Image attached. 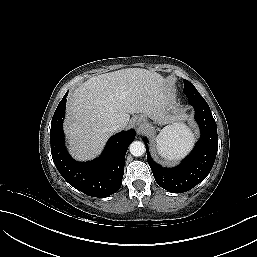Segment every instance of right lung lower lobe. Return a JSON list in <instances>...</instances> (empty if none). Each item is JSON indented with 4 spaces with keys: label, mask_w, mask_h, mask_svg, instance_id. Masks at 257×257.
Instances as JSON below:
<instances>
[{
    "label": "right lung lower lobe",
    "mask_w": 257,
    "mask_h": 257,
    "mask_svg": "<svg viewBox=\"0 0 257 257\" xmlns=\"http://www.w3.org/2000/svg\"><path fill=\"white\" fill-rule=\"evenodd\" d=\"M65 94L51 122L50 142L53 162L61 176L74 188L92 197L114 194L122 185L125 154L135 139V131H123L112 136L97 159L77 162L64 147L62 123L65 117Z\"/></svg>",
    "instance_id": "1"
}]
</instances>
